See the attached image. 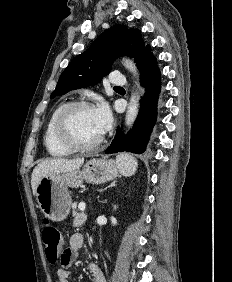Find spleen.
I'll return each instance as SVG.
<instances>
[{
	"mask_svg": "<svg viewBox=\"0 0 232 282\" xmlns=\"http://www.w3.org/2000/svg\"><path fill=\"white\" fill-rule=\"evenodd\" d=\"M116 165L121 174L131 176L135 173L138 163L133 156L124 153L117 156Z\"/></svg>",
	"mask_w": 232,
	"mask_h": 282,
	"instance_id": "spleen-1",
	"label": "spleen"
}]
</instances>
